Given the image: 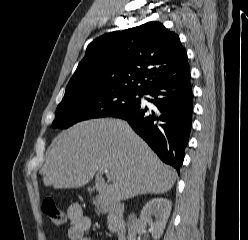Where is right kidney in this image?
Wrapping results in <instances>:
<instances>
[{
    "instance_id": "1",
    "label": "right kidney",
    "mask_w": 248,
    "mask_h": 240,
    "mask_svg": "<svg viewBox=\"0 0 248 240\" xmlns=\"http://www.w3.org/2000/svg\"><path fill=\"white\" fill-rule=\"evenodd\" d=\"M172 208V203L166 198H154L146 203L140 213L141 227L131 225L128 229V240H136L137 233H142L146 224L150 225V232L154 240L162 236ZM152 216L155 220H152Z\"/></svg>"
}]
</instances>
